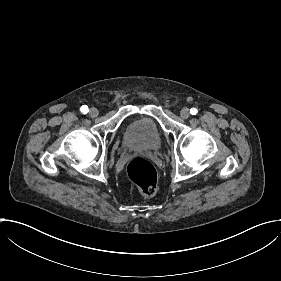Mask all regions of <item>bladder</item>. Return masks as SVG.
I'll return each mask as SVG.
<instances>
[{
    "instance_id": "obj_1",
    "label": "bladder",
    "mask_w": 281,
    "mask_h": 281,
    "mask_svg": "<svg viewBox=\"0 0 281 281\" xmlns=\"http://www.w3.org/2000/svg\"><path fill=\"white\" fill-rule=\"evenodd\" d=\"M125 142L135 148L155 150L161 144L160 132L149 117H141L127 125L124 131Z\"/></svg>"
}]
</instances>
